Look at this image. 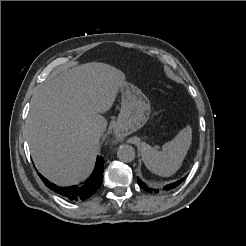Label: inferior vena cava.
Listing matches in <instances>:
<instances>
[{"label": "inferior vena cava", "instance_id": "1", "mask_svg": "<svg viewBox=\"0 0 246 246\" xmlns=\"http://www.w3.org/2000/svg\"><path fill=\"white\" fill-rule=\"evenodd\" d=\"M93 132H94V134H95L96 136L100 137L101 134H102V132H103V130H102V128H101L100 126H96V127L94 128Z\"/></svg>", "mask_w": 246, "mask_h": 246}]
</instances>
